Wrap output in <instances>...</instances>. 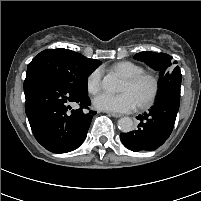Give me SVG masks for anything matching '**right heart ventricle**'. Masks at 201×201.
<instances>
[{"instance_id":"right-heart-ventricle-1","label":"right heart ventricle","mask_w":201,"mask_h":201,"mask_svg":"<svg viewBox=\"0 0 201 201\" xmlns=\"http://www.w3.org/2000/svg\"><path fill=\"white\" fill-rule=\"evenodd\" d=\"M112 70L126 78L143 72L144 68L131 61H120L112 66Z\"/></svg>"}]
</instances>
